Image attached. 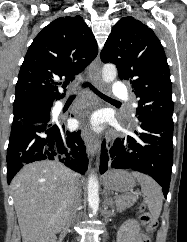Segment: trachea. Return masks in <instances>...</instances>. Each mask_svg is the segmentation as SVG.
Instances as JSON below:
<instances>
[{"instance_id": "3493384b", "label": "trachea", "mask_w": 187, "mask_h": 242, "mask_svg": "<svg viewBox=\"0 0 187 242\" xmlns=\"http://www.w3.org/2000/svg\"><path fill=\"white\" fill-rule=\"evenodd\" d=\"M89 87L94 93H96L98 96H100L103 99H109V100H113L112 98L104 95L103 93L99 92L95 87L92 86V84H90L89 82H85L82 84V87ZM71 97H75V94L71 95Z\"/></svg>"}]
</instances>
